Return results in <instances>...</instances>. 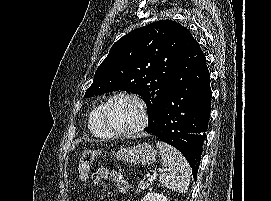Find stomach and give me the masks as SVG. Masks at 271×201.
Segmentation results:
<instances>
[{"mask_svg":"<svg viewBox=\"0 0 271 201\" xmlns=\"http://www.w3.org/2000/svg\"><path fill=\"white\" fill-rule=\"evenodd\" d=\"M157 152L149 143H142L135 146L120 148L113 152V156L124 163L149 166L156 160Z\"/></svg>","mask_w":271,"mask_h":201,"instance_id":"obj_1","label":"stomach"}]
</instances>
